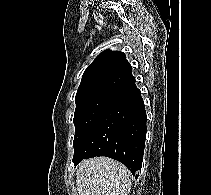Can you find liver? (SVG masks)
<instances>
[{
    "label": "liver",
    "instance_id": "6515ba94",
    "mask_svg": "<svg viewBox=\"0 0 211 195\" xmlns=\"http://www.w3.org/2000/svg\"><path fill=\"white\" fill-rule=\"evenodd\" d=\"M131 185L130 171L111 158L83 160L77 167L78 195H128Z\"/></svg>",
    "mask_w": 211,
    "mask_h": 195
}]
</instances>
